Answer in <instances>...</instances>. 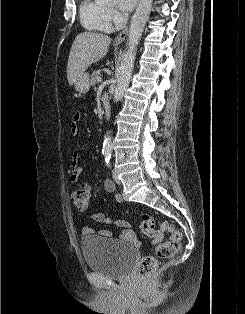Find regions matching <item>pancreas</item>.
Listing matches in <instances>:
<instances>
[{
    "label": "pancreas",
    "instance_id": "1",
    "mask_svg": "<svg viewBox=\"0 0 245 314\" xmlns=\"http://www.w3.org/2000/svg\"><path fill=\"white\" fill-rule=\"evenodd\" d=\"M97 77H99V72L98 71H93V73L91 75V80H90V84L92 86H95V84L97 83Z\"/></svg>",
    "mask_w": 245,
    "mask_h": 314
}]
</instances>
